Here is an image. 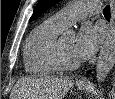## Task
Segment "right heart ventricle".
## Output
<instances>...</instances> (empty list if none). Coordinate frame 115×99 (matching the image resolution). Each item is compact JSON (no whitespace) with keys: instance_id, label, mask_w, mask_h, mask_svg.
<instances>
[{"instance_id":"obj_1","label":"right heart ventricle","mask_w":115,"mask_h":99,"mask_svg":"<svg viewBox=\"0 0 115 99\" xmlns=\"http://www.w3.org/2000/svg\"><path fill=\"white\" fill-rule=\"evenodd\" d=\"M63 29L48 19L31 31L23 50L24 66L28 73L50 75L61 70L54 58V48Z\"/></svg>"}]
</instances>
